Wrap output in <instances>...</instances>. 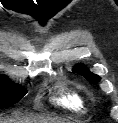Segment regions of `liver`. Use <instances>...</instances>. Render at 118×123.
Instances as JSON below:
<instances>
[{"mask_svg":"<svg viewBox=\"0 0 118 123\" xmlns=\"http://www.w3.org/2000/svg\"><path fill=\"white\" fill-rule=\"evenodd\" d=\"M0 123H71V121L51 116L18 114L10 118H0Z\"/></svg>","mask_w":118,"mask_h":123,"instance_id":"1","label":"liver"}]
</instances>
